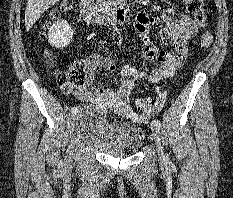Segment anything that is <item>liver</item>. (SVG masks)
<instances>
[{
    "label": "liver",
    "mask_w": 233,
    "mask_h": 198,
    "mask_svg": "<svg viewBox=\"0 0 233 198\" xmlns=\"http://www.w3.org/2000/svg\"><path fill=\"white\" fill-rule=\"evenodd\" d=\"M60 0H27L25 29L28 32L40 16Z\"/></svg>",
    "instance_id": "6515ba94"
}]
</instances>
